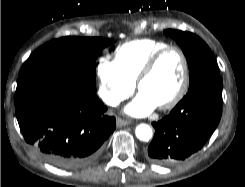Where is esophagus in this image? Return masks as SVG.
Wrapping results in <instances>:
<instances>
[{
    "instance_id": "34e87169",
    "label": "esophagus",
    "mask_w": 245,
    "mask_h": 187,
    "mask_svg": "<svg viewBox=\"0 0 245 187\" xmlns=\"http://www.w3.org/2000/svg\"><path fill=\"white\" fill-rule=\"evenodd\" d=\"M129 124H130V121H127V120H124L121 118H117V120H116L117 127H124V126H127Z\"/></svg>"
}]
</instances>
